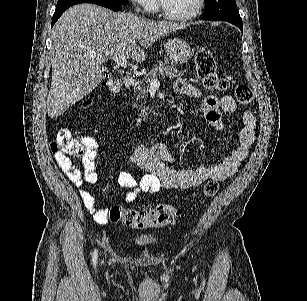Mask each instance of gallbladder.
Here are the masks:
<instances>
[{
	"label": "gallbladder",
	"mask_w": 307,
	"mask_h": 301,
	"mask_svg": "<svg viewBox=\"0 0 307 301\" xmlns=\"http://www.w3.org/2000/svg\"><path fill=\"white\" fill-rule=\"evenodd\" d=\"M103 76L104 78H109V76H112V72H108V70H103Z\"/></svg>",
	"instance_id": "1"
}]
</instances>
